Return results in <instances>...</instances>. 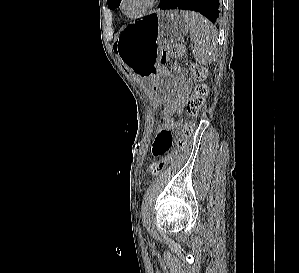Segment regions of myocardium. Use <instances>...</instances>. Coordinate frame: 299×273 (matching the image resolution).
Returning a JSON list of instances; mask_svg holds the SVG:
<instances>
[{"label": "myocardium", "mask_w": 299, "mask_h": 273, "mask_svg": "<svg viewBox=\"0 0 299 273\" xmlns=\"http://www.w3.org/2000/svg\"><path fill=\"white\" fill-rule=\"evenodd\" d=\"M125 2L126 0L120 1L121 12L129 18H139L145 15L146 13H148L151 9H153L156 6V4L159 2V0H147L144 7L135 13H128L125 11Z\"/></svg>", "instance_id": "f54148a6"}]
</instances>
